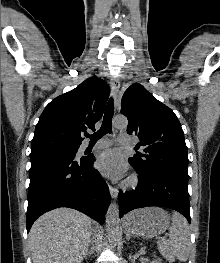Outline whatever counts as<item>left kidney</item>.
Instances as JSON below:
<instances>
[{
	"label": "left kidney",
	"mask_w": 220,
	"mask_h": 263,
	"mask_svg": "<svg viewBox=\"0 0 220 263\" xmlns=\"http://www.w3.org/2000/svg\"><path fill=\"white\" fill-rule=\"evenodd\" d=\"M153 263H159V262L155 261V262H153Z\"/></svg>",
	"instance_id": "left-kidney-1"
}]
</instances>
